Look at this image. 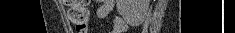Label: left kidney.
<instances>
[{
  "instance_id": "obj_1",
  "label": "left kidney",
  "mask_w": 235,
  "mask_h": 33,
  "mask_svg": "<svg viewBox=\"0 0 235 33\" xmlns=\"http://www.w3.org/2000/svg\"><path fill=\"white\" fill-rule=\"evenodd\" d=\"M150 0H116L117 11L130 25L143 22Z\"/></svg>"
}]
</instances>
